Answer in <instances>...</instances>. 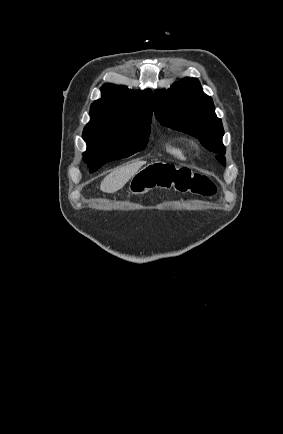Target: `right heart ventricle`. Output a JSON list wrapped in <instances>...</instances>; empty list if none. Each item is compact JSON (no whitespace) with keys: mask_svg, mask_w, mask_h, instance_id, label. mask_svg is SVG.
Wrapping results in <instances>:
<instances>
[{"mask_svg":"<svg viewBox=\"0 0 283 434\" xmlns=\"http://www.w3.org/2000/svg\"><path fill=\"white\" fill-rule=\"evenodd\" d=\"M166 151L178 159H185L187 155L186 148L178 144H166Z\"/></svg>","mask_w":283,"mask_h":434,"instance_id":"right-heart-ventricle-1","label":"right heart ventricle"}]
</instances>
